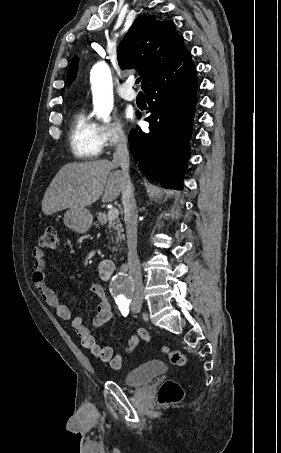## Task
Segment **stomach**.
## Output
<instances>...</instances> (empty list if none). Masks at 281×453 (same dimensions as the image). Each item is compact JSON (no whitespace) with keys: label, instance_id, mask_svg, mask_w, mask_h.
<instances>
[{"label":"stomach","instance_id":"obj_1","mask_svg":"<svg viewBox=\"0 0 281 453\" xmlns=\"http://www.w3.org/2000/svg\"><path fill=\"white\" fill-rule=\"evenodd\" d=\"M64 224L75 233H87L92 224V214L88 208H69L64 212Z\"/></svg>","mask_w":281,"mask_h":453}]
</instances>
